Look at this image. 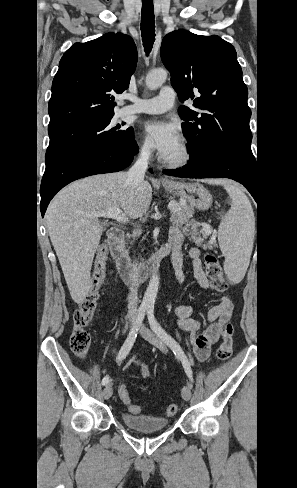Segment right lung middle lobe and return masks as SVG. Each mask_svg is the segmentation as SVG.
<instances>
[{"mask_svg":"<svg viewBox=\"0 0 297 488\" xmlns=\"http://www.w3.org/2000/svg\"><path fill=\"white\" fill-rule=\"evenodd\" d=\"M112 117L84 121L49 133L46 166L77 149L134 139L132 127L120 130L119 125L111 128Z\"/></svg>","mask_w":297,"mask_h":488,"instance_id":"dd1d6c3e","label":"right lung middle lobe"}]
</instances>
